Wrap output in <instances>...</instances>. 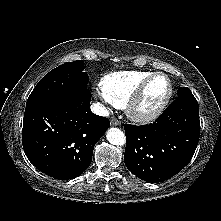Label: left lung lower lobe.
<instances>
[{"mask_svg":"<svg viewBox=\"0 0 221 221\" xmlns=\"http://www.w3.org/2000/svg\"><path fill=\"white\" fill-rule=\"evenodd\" d=\"M124 162L131 173L159 182L182 170L191 160L199 140L198 102L194 96L173 101L156 122L127 124Z\"/></svg>","mask_w":221,"mask_h":221,"instance_id":"0a47b994","label":"left lung lower lobe"}]
</instances>
